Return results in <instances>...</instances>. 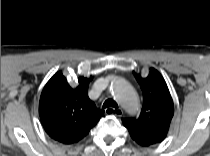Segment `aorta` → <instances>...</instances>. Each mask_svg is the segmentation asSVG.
Here are the masks:
<instances>
[{
  "instance_id": "aorta-1",
  "label": "aorta",
  "mask_w": 210,
  "mask_h": 156,
  "mask_svg": "<svg viewBox=\"0 0 210 156\" xmlns=\"http://www.w3.org/2000/svg\"><path fill=\"white\" fill-rule=\"evenodd\" d=\"M111 92L119 103L130 113L140 109V103L135 89L122 78L115 79L111 84Z\"/></svg>"
}]
</instances>
